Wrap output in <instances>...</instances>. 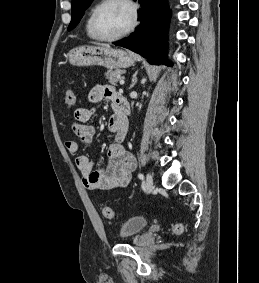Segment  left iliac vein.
Here are the masks:
<instances>
[{"label": "left iliac vein", "mask_w": 259, "mask_h": 283, "mask_svg": "<svg viewBox=\"0 0 259 283\" xmlns=\"http://www.w3.org/2000/svg\"><path fill=\"white\" fill-rule=\"evenodd\" d=\"M145 185H146V191H147V193H149L150 191H152L153 188H154V186H153V178H152V176H151L150 173H148L147 176H146Z\"/></svg>", "instance_id": "4c4485c4"}]
</instances>
